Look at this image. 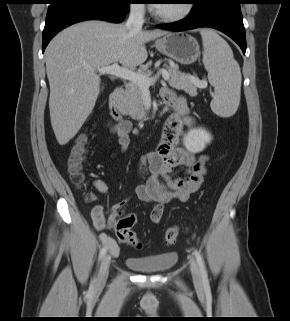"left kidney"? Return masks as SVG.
I'll use <instances>...</instances> for the list:
<instances>
[{"mask_svg": "<svg viewBox=\"0 0 290 321\" xmlns=\"http://www.w3.org/2000/svg\"><path fill=\"white\" fill-rule=\"evenodd\" d=\"M212 140V136L205 129H190L183 138V145L191 153L203 151Z\"/></svg>", "mask_w": 290, "mask_h": 321, "instance_id": "1", "label": "left kidney"}]
</instances>
